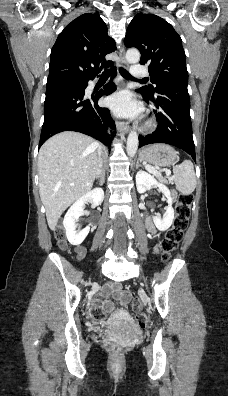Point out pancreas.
Returning <instances> with one entry per match:
<instances>
[{
  "mask_svg": "<svg viewBox=\"0 0 228 396\" xmlns=\"http://www.w3.org/2000/svg\"><path fill=\"white\" fill-rule=\"evenodd\" d=\"M154 175L158 178L159 181H161L163 183H168V180L166 178H164L163 176H161V174H154Z\"/></svg>",
  "mask_w": 228,
  "mask_h": 396,
  "instance_id": "1",
  "label": "pancreas"
}]
</instances>
